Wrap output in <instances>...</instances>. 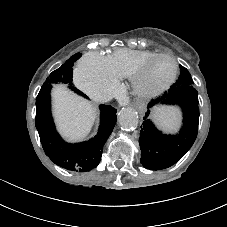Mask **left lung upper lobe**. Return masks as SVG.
Returning a JSON list of instances; mask_svg holds the SVG:
<instances>
[{
	"mask_svg": "<svg viewBox=\"0 0 227 227\" xmlns=\"http://www.w3.org/2000/svg\"><path fill=\"white\" fill-rule=\"evenodd\" d=\"M180 69H181V73H180V76H179L178 80L176 81L175 85L193 84V80H192V77H191L189 71L183 66H180Z\"/></svg>",
	"mask_w": 227,
	"mask_h": 227,
	"instance_id": "1",
	"label": "left lung upper lobe"
}]
</instances>
